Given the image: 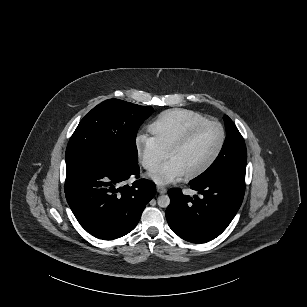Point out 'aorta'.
<instances>
[{
  "instance_id": "762f6f07",
  "label": "aorta",
  "mask_w": 307,
  "mask_h": 307,
  "mask_svg": "<svg viewBox=\"0 0 307 307\" xmlns=\"http://www.w3.org/2000/svg\"><path fill=\"white\" fill-rule=\"evenodd\" d=\"M170 204V198L168 195H161L158 197V205L162 208L168 207Z\"/></svg>"
}]
</instances>
